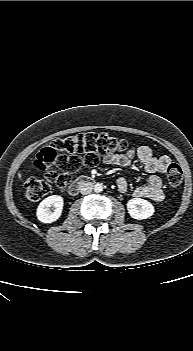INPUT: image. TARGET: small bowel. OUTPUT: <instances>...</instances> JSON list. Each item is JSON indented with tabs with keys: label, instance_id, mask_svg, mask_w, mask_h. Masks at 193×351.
Here are the masks:
<instances>
[{
	"label": "small bowel",
	"instance_id": "obj_1",
	"mask_svg": "<svg viewBox=\"0 0 193 351\" xmlns=\"http://www.w3.org/2000/svg\"><path fill=\"white\" fill-rule=\"evenodd\" d=\"M137 158L143 165L146 172L150 174L145 184L134 189L133 195L137 198H146L154 202H161L164 199L162 182L158 173L166 170L170 164L168 156H155L148 146H140L136 150H129L125 153H111L103 157V162L107 165L127 167L130 166L133 159ZM117 187L121 193L128 190V182L121 177L117 180Z\"/></svg>",
	"mask_w": 193,
	"mask_h": 351
}]
</instances>
